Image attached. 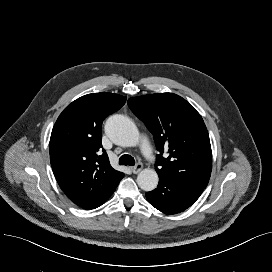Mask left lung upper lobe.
Masks as SVG:
<instances>
[{"label": "left lung upper lobe", "mask_w": 272, "mask_h": 272, "mask_svg": "<svg viewBox=\"0 0 272 272\" xmlns=\"http://www.w3.org/2000/svg\"><path fill=\"white\" fill-rule=\"evenodd\" d=\"M127 103L154 136L160 152L155 164L159 177H173L206 188L212 151L201 115L173 93L143 95L130 98Z\"/></svg>", "instance_id": "1"}]
</instances>
